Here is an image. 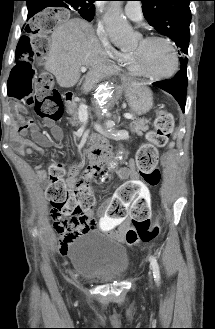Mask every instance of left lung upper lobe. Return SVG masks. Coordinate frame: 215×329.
<instances>
[{"mask_svg": "<svg viewBox=\"0 0 215 329\" xmlns=\"http://www.w3.org/2000/svg\"><path fill=\"white\" fill-rule=\"evenodd\" d=\"M144 17L159 33L168 36L180 48L183 54H188L190 40L189 25L191 0H140ZM187 57H181L180 63H187Z\"/></svg>", "mask_w": 215, "mask_h": 329, "instance_id": "left-lung-upper-lobe-1", "label": "left lung upper lobe"}]
</instances>
